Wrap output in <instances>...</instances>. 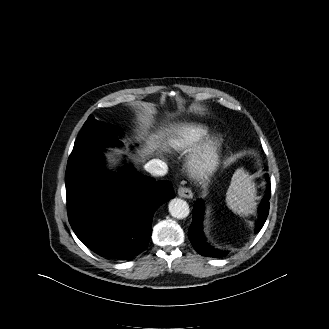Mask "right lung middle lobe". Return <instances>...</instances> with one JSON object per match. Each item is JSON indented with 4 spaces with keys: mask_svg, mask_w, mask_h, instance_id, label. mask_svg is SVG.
<instances>
[{
    "mask_svg": "<svg viewBox=\"0 0 329 329\" xmlns=\"http://www.w3.org/2000/svg\"><path fill=\"white\" fill-rule=\"evenodd\" d=\"M118 133L119 129L115 126L97 121L93 115H90L79 132L67 165L89 152L120 144L116 137Z\"/></svg>",
    "mask_w": 329,
    "mask_h": 329,
    "instance_id": "right-lung-middle-lobe-1",
    "label": "right lung middle lobe"
}]
</instances>
